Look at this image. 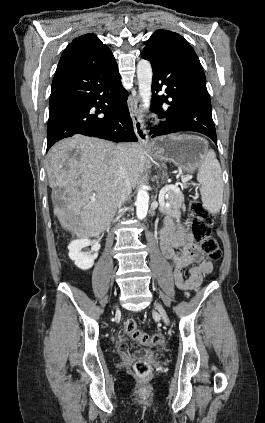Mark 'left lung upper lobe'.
<instances>
[{
  "label": "left lung upper lobe",
  "mask_w": 265,
  "mask_h": 423,
  "mask_svg": "<svg viewBox=\"0 0 265 423\" xmlns=\"http://www.w3.org/2000/svg\"><path fill=\"white\" fill-rule=\"evenodd\" d=\"M172 35H178L175 32L168 30H158L156 31L148 40L146 47L143 52H150L153 47H161L167 43V40Z\"/></svg>",
  "instance_id": "1"
}]
</instances>
